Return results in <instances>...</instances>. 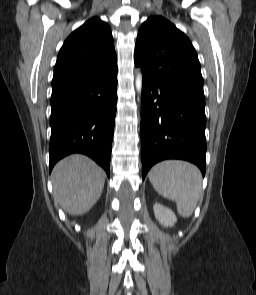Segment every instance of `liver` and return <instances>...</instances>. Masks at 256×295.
<instances>
[{
  "label": "liver",
  "mask_w": 256,
  "mask_h": 295,
  "mask_svg": "<svg viewBox=\"0 0 256 295\" xmlns=\"http://www.w3.org/2000/svg\"><path fill=\"white\" fill-rule=\"evenodd\" d=\"M51 178L54 200L73 216L87 213L101 197L105 184L103 169L79 154L59 161Z\"/></svg>",
  "instance_id": "6515ba94"
}]
</instances>
